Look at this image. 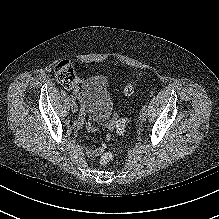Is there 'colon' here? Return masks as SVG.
<instances>
[{"mask_svg": "<svg viewBox=\"0 0 219 219\" xmlns=\"http://www.w3.org/2000/svg\"><path fill=\"white\" fill-rule=\"evenodd\" d=\"M54 75L59 83L68 86L75 81L76 71L74 65L70 61L64 60L56 65L54 69ZM132 91L133 88L131 85H127L124 88V92L126 94H131ZM129 122L130 119L128 117L116 119L113 121L112 127L114 128L118 136L120 137L124 136ZM112 158H113V152L111 151L106 152L101 156L100 164L107 165L111 162Z\"/></svg>", "mask_w": 219, "mask_h": 219, "instance_id": "colon-1", "label": "colon"}]
</instances>
